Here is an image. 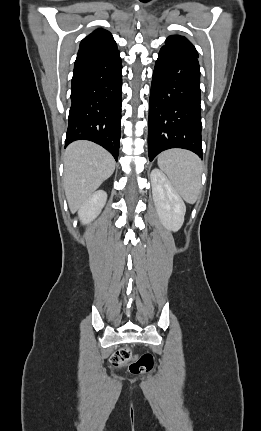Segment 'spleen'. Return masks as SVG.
I'll use <instances>...</instances> for the list:
<instances>
[{"mask_svg": "<svg viewBox=\"0 0 261 431\" xmlns=\"http://www.w3.org/2000/svg\"><path fill=\"white\" fill-rule=\"evenodd\" d=\"M158 166L170 179L175 191L189 204L196 202L201 188V161L194 153L171 149L161 153Z\"/></svg>", "mask_w": 261, "mask_h": 431, "instance_id": "spleen-1", "label": "spleen"}]
</instances>
